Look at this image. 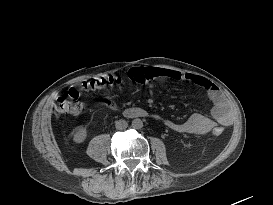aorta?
Segmentation results:
<instances>
[{
    "mask_svg": "<svg viewBox=\"0 0 273 205\" xmlns=\"http://www.w3.org/2000/svg\"><path fill=\"white\" fill-rule=\"evenodd\" d=\"M132 127L134 129H141L143 127V122L141 119L136 118L132 121Z\"/></svg>",
    "mask_w": 273,
    "mask_h": 205,
    "instance_id": "1",
    "label": "aorta"
}]
</instances>
